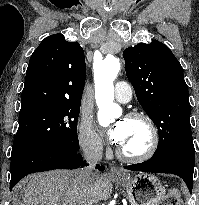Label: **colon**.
I'll return each instance as SVG.
<instances>
[{"mask_svg": "<svg viewBox=\"0 0 199 205\" xmlns=\"http://www.w3.org/2000/svg\"><path fill=\"white\" fill-rule=\"evenodd\" d=\"M180 191L178 188H172L164 198L161 205H180Z\"/></svg>", "mask_w": 199, "mask_h": 205, "instance_id": "5ec220e1", "label": "colon"}]
</instances>
